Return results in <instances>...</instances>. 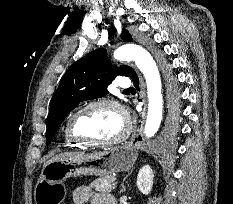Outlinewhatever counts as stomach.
<instances>
[{"mask_svg":"<svg viewBox=\"0 0 233 204\" xmlns=\"http://www.w3.org/2000/svg\"><path fill=\"white\" fill-rule=\"evenodd\" d=\"M138 158L131 143L89 154H76L44 165L34 190L35 204H61L65 197L63 181L91 175L105 177L130 170Z\"/></svg>","mask_w":233,"mask_h":204,"instance_id":"stomach-1","label":"stomach"}]
</instances>
